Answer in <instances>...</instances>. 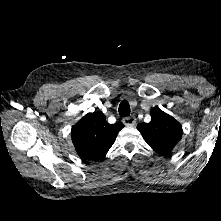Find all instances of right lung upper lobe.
Wrapping results in <instances>:
<instances>
[{
    "instance_id": "cb5924a9",
    "label": "right lung upper lobe",
    "mask_w": 221,
    "mask_h": 221,
    "mask_svg": "<svg viewBox=\"0 0 221 221\" xmlns=\"http://www.w3.org/2000/svg\"><path fill=\"white\" fill-rule=\"evenodd\" d=\"M124 127L121 122L113 125L98 111L86 114L71 130V137L82 159H100L113 145L117 134Z\"/></svg>"
}]
</instances>
